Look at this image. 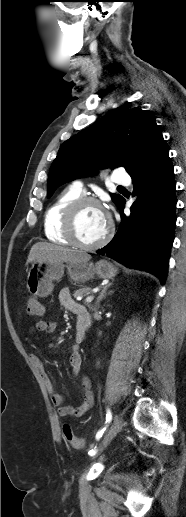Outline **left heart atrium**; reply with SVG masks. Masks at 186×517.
Returning a JSON list of instances; mask_svg holds the SVG:
<instances>
[{"instance_id": "obj_1", "label": "left heart atrium", "mask_w": 186, "mask_h": 517, "mask_svg": "<svg viewBox=\"0 0 186 517\" xmlns=\"http://www.w3.org/2000/svg\"><path fill=\"white\" fill-rule=\"evenodd\" d=\"M105 213V216L107 217V219L109 220V213L107 211H104Z\"/></svg>"}]
</instances>
